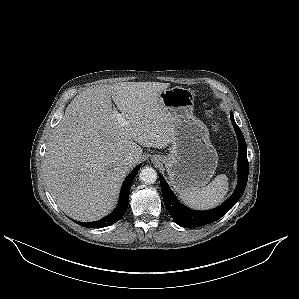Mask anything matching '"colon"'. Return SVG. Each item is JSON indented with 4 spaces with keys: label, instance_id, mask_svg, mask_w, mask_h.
<instances>
[{
    "label": "colon",
    "instance_id": "obj_1",
    "mask_svg": "<svg viewBox=\"0 0 299 299\" xmlns=\"http://www.w3.org/2000/svg\"><path fill=\"white\" fill-rule=\"evenodd\" d=\"M206 112H207V114L212 115L213 114V108L209 105L206 106ZM215 125L218 126L217 123Z\"/></svg>",
    "mask_w": 299,
    "mask_h": 299
}]
</instances>
